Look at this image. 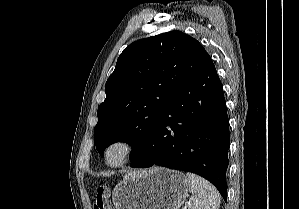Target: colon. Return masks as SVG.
Returning <instances> with one entry per match:
<instances>
[{
  "label": "colon",
  "mask_w": 299,
  "mask_h": 209,
  "mask_svg": "<svg viewBox=\"0 0 299 209\" xmlns=\"http://www.w3.org/2000/svg\"><path fill=\"white\" fill-rule=\"evenodd\" d=\"M106 187L99 186L95 191L94 209H110L106 203Z\"/></svg>",
  "instance_id": "obj_1"
}]
</instances>
